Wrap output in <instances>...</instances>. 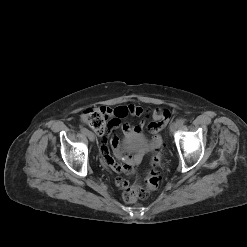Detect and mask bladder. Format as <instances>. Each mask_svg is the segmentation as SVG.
Here are the masks:
<instances>
[{
	"label": "bladder",
	"mask_w": 247,
	"mask_h": 247,
	"mask_svg": "<svg viewBox=\"0 0 247 247\" xmlns=\"http://www.w3.org/2000/svg\"><path fill=\"white\" fill-rule=\"evenodd\" d=\"M142 144H143V137L139 134L128 136L124 140V147L125 149H128V150L138 148Z\"/></svg>",
	"instance_id": "31cf9c89"
}]
</instances>
